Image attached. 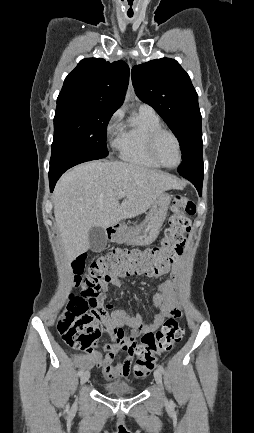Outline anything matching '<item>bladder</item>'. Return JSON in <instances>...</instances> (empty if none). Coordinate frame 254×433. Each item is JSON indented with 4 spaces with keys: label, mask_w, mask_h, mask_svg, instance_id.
<instances>
[{
    "label": "bladder",
    "mask_w": 254,
    "mask_h": 433,
    "mask_svg": "<svg viewBox=\"0 0 254 433\" xmlns=\"http://www.w3.org/2000/svg\"><path fill=\"white\" fill-rule=\"evenodd\" d=\"M101 389L105 394L111 396H131L136 393V389L122 382H110L101 385Z\"/></svg>",
    "instance_id": "31cf9c89"
}]
</instances>
